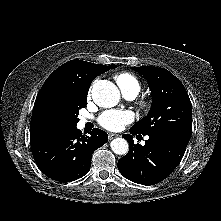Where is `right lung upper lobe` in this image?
<instances>
[{"mask_svg":"<svg viewBox=\"0 0 221 221\" xmlns=\"http://www.w3.org/2000/svg\"><path fill=\"white\" fill-rule=\"evenodd\" d=\"M116 67L82 60H71L58 67L44 82L36 97L30 124V142L59 131L50 122V111L58 101L87 99L92 80Z\"/></svg>","mask_w":221,"mask_h":221,"instance_id":"right-lung-upper-lobe-1","label":"right lung upper lobe"}]
</instances>
